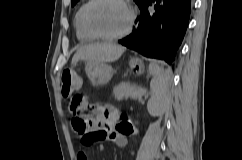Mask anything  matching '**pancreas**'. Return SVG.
Returning a JSON list of instances; mask_svg holds the SVG:
<instances>
[{
  "label": "pancreas",
  "mask_w": 242,
  "mask_h": 160,
  "mask_svg": "<svg viewBox=\"0 0 242 160\" xmlns=\"http://www.w3.org/2000/svg\"><path fill=\"white\" fill-rule=\"evenodd\" d=\"M143 94L144 90L142 88L138 87L135 84L124 82L115 86L113 89V95L118 101L128 98L140 99Z\"/></svg>",
  "instance_id": "obj_1"
}]
</instances>
